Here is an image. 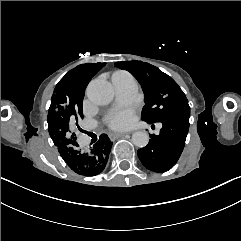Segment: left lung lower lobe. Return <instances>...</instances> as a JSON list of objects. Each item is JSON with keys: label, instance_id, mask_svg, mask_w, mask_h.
Masks as SVG:
<instances>
[{"label": "left lung lower lobe", "instance_id": "0a47b994", "mask_svg": "<svg viewBox=\"0 0 241 241\" xmlns=\"http://www.w3.org/2000/svg\"><path fill=\"white\" fill-rule=\"evenodd\" d=\"M190 113L161 121L159 135H150L147 146L137 154L142 164L154 172L170 170L178 161L189 129Z\"/></svg>", "mask_w": 241, "mask_h": 241}]
</instances>
